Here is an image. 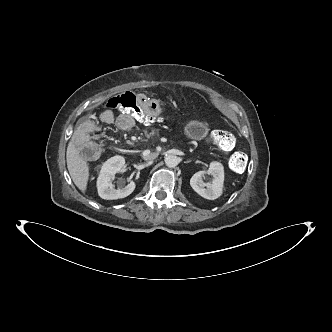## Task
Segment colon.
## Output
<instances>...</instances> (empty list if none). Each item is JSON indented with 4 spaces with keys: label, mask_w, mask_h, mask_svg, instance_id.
Masks as SVG:
<instances>
[{
    "label": "colon",
    "mask_w": 332,
    "mask_h": 332,
    "mask_svg": "<svg viewBox=\"0 0 332 332\" xmlns=\"http://www.w3.org/2000/svg\"><path fill=\"white\" fill-rule=\"evenodd\" d=\"M136 98L137 96L130 92L114 96L108 101L107 110L110 113L120 111L125 114H129L145 126H150L153 123L161 121V116L155 117L152 114H148L140 109L136 103ZM212 139L216 145L224 151H231L236 143L235 136L231 132L225 130L215 131L212 134ZM76 146L81 154L88 159H94L101 154L99 145L86 138H77ZM228 162L230 169L233 172L239 173L245 169L247 157L243 152H233L230 154Z\"/></svg>",
    "instance_id": "1"
}]
</instances>
